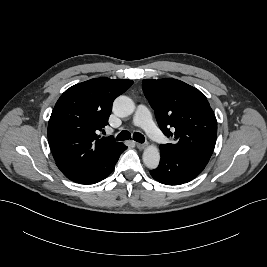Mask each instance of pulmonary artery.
I'll return each instance as SVG.
<instances>
[{"instance_id": "1", "label": "pulmonary artery", "mask_w": 267, "mask_h": 267, "mask_svg": "<svg viewBox=\"0 0 267 267\" xmlns=\"http://www.w3.org/2000/svg\"><path fill=\"white\" fill-rule=\"evenodd\" d=\"M133 123L135 126L142 127L148 135L155 141L162 142L163 135L155 125L149 109L144 105H139L134 115Z\"/></svg>"}]
</instances>
